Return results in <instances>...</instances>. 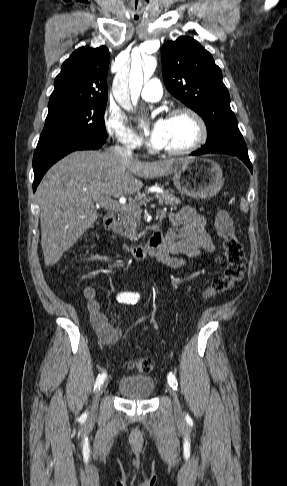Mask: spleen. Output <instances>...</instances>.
<instances>
[{"label":"spleen","mask_w":287,"mask_h":486,"mask_svg":"<svg viewBox=\"0 0 287 486\" xmlns=\"http://www.w3.org/2000/svg\"><path fill=\"white\" fill-rule=\"evenodd\" d=\"M240 209L245 213H247L249 210L248 203L243 197L241 198Z\"/></svg>","instance_id":"spleen-1"}]
</instances>
